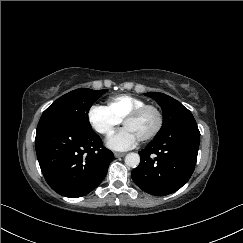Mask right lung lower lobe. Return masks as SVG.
Masks as SVG:
<instances>
[{"instance_id": "98d812e1", "label": "right lung lower lobe", "mask_w": 243, "mask_h": 243, "mask_svg": "<svg viewBox=\"0 0 243 243\" xmlns=\"http://www.w3.org/2000/svg\"><path fill=\"white\" fill-rule=\"evenodd\" d=\"M35 147L49 186L70 198L84 196L95 189L114 158L95 132L60 125L37 130Z\"/></svg>"}]
</instances>
